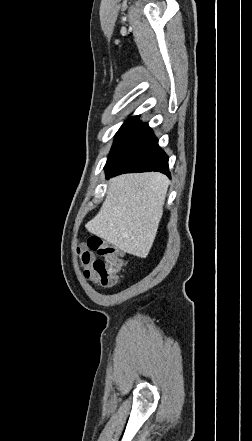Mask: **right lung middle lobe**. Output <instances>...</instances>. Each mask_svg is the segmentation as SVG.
Segmentation results:
<instances>
[{
  "label": "right lung middle lobe",
  "mask_w": 252,
  "mask_h": 441,
  "mask_svg": "<svg viewBox=\"0 0 252 441\" xmlns=\"http://www.w3.org/2000/svg\"><path fill=\"white\" fill-rule=\"evenodd\" d=\"M138 117L139 116L129 118L119 129V131L116 134L115 141L111 148L107 162L111 161L113 157L116 155V153L119 151V149L124 145L127 138L130 136L131 132L138 124Z\"/></svg>",
  "instance_id": "1"
}]
</instances>
